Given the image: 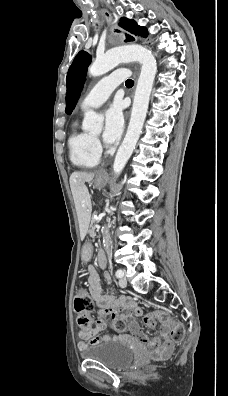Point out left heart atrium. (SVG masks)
Listing matches in <instances>:
<instances>
[{
  "mask_svg": "<svg viewBox=\"0 0 228 396\" xmlns=\"http://www.w3.org/2000/svg\"><path fill=\"white\" fill-rule=\"evenodd\" d=\"M124 128V117L121 105L118 102L113 103L105 113V127L103 132V139L106 144H115Z\"/></svg>",
  "mask_w": 228,
  "mask_h": 396,
  "instance_id": "obj_1",
  "label": "left heart atrium"
}]
</instances>
